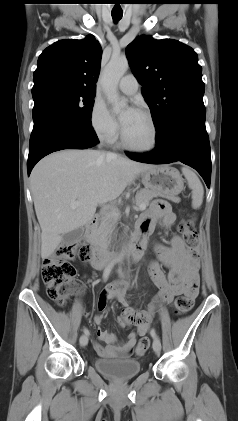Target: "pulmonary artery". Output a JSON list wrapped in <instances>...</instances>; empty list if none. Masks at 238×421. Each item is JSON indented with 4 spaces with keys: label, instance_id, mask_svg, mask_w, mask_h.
Segmentation results:
<instances>
[{
    "label": "pulmonary artery",
    "instance_id": "pulmonary-artery-1",
    "mask_svg": "<svg viewBox=\"0 0 238 421\" xmlns=\"http://www.w3.org/2000/svg\"><path fill=\"white\" fill-rule=\"evenodd\" d=\"M118 86L123 93L132 95L138 90L139 84L134 75L128 74L121 78Z\"/></svg>",
    "mask_w": 238,
    "mask_h": 421
}]
</instances>
